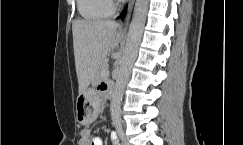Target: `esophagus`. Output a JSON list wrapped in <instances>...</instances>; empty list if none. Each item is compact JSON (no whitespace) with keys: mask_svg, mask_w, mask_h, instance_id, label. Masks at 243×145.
<instances>
[{"mask_svg":"<svg viewBox=\"0 0 243 145\" xmlns=\"http://www.w3.org/2000/svg\"><path fill=\"white\" fill-rule=\"evenodd\" d=\"M134 2H135V0H130L129 3H128L127 13H126L125 19L123 21H121L120 25H119L121 30L125 31L126 28H127L128 20H129V17H130V14H131Z\"/></svg>","mask_w":243,"mask_h":145,"instance_id":"1","label":"esophagus"}]
</instances>
